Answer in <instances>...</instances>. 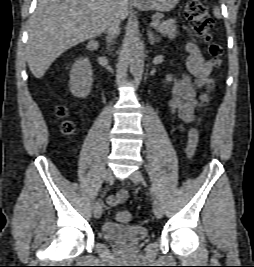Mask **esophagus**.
<instances>
[{
    "label": "esophagus",
    "instance_id": "esophagus-1",
    "mask_svg": "<svg viewBox=\"0 0 254 267\" xmlns=\"http://www.w3.org/2000/svg\"><path fill=\"white\" fill-rule=\"evenodd\" d=\"M130 1H133V2H139V1H142V0H130Z\"/></svg>",
    "mask_w": 254,
    "mask_h": 267
}]
</instances>
